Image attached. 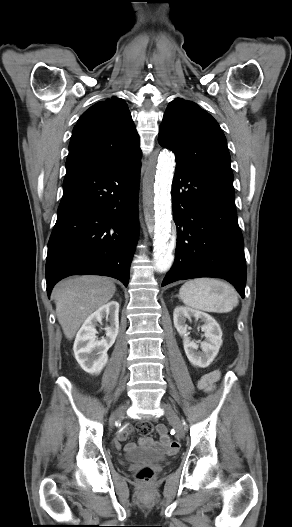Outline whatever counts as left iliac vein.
<instances>
[{"label": "left iliac vein", "mask_w": 292, "mask_h": 527, "mask_svg": "<svg viewBox=\"0 0 292 527\" xmlns=\"http://www.w3.org/2000/svg\"><path fill=\"white\" fill-rule=\"evenodd\" d=\"M161 406L164 409L165 416L175 429L177 436L183 438L185 435L184 427L176 411L169 404L162 403Z\"/></svg>", "instance_id": "4c4485c4"}]
</instances>
